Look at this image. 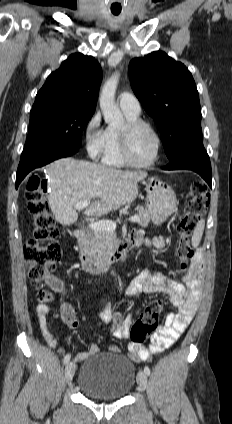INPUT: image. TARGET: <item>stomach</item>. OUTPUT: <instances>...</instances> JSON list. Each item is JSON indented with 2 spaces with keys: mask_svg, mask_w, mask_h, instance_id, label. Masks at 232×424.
<instances>
[{
  "mask_svg": "<svg viewBox=\"0 0 232 424\" xmlns=\"http://www.w3.org/2000/svg\"><path fill=\"white\" fill-rule=\"evenodd\" d=\"M147 208L155 225L163 223L177 211V199L173 189L165 182L152 177L146 183Z\"/></svg>",
  "mask_w": 232,
  "mask_h": 424,
  "instance_id": "0dacf381",
  "label": "stomach"
}]
</instances>
